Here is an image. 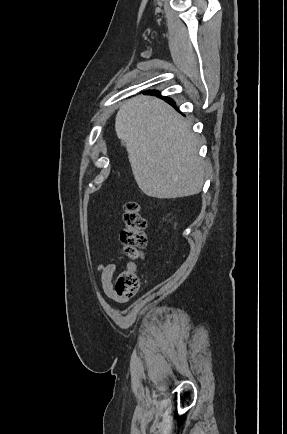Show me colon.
I'll return each instance as SVG.
<instances>
[{
  "label": "colon",
  "instance_id": "colon-1",
  "mask_svg": "<svg viewBox=\"0 0 287 434\" xmlns=\"http://www.w3.org/2000/svg\"><path fill=\"white\" fill-rule=\"evenodd\" d=\"M124 224L121 233V244L126 256L131 259L142 257V249L147 244L145 233L146 221L136 201H128L124 205ZM140 280L134 269H127L120 273L115 285V294L124 299L134 297L139 290Z\"/></svg>",
  "mask_w": 287,
  "mask_h": 434
}]
</instances>
